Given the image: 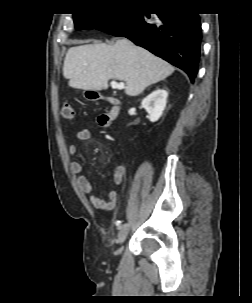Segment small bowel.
I'll return each instance as SVG.
<instances>
[{"instance_id": "c3829d8e", "label": "small bowel", "mask_w": 252, "mask_h": 303, "mask_svg": "<svg viewBox=\"0 0 252 303\" xmlns=\"http://www.w3.org/2000/svg\"><path fill=\"white\" fill-rule=\"evenodd\" d=\"M102 126L105 125V123H101ZM94 129V126L90 128L81 129L76 132L75 139L80 142L88 141L91 138L92 130ZM78 153V147L75 144H72L68 148V154L69 156L75 157ZM70 170L72 174L75 175L77 184L80 188V190L83 193L89 194V200L91 204L100 210L110 212L113 211L119 202V193L116 190H111L108 194V199H102L97 194L93 193V186L89 179L82 173V166L81 164L76 160H71L70 162ZM125 173V167L123 165L118 166L113 175L114 183L119 185L121 184L123 180V176Z\"/></svg>"}]
</instances>
